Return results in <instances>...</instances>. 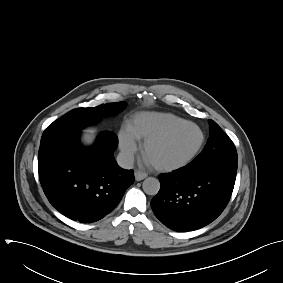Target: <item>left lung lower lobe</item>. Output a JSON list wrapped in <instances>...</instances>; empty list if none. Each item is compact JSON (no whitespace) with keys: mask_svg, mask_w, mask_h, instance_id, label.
Here are the masks:
<instances>
[{"mask_svg":"<svg viewBox=\"0 0 283 283\" xmlns=\"http://www.w3.org/2000/svg\"><path fill=\"white\" fill-rule=\"evenodd\" d=\"M235 169L190 166L162 174L160 190L152 199L155 216L168 228L193 231L214 221L232 194Z\"/></svg>","mask_w":283,"mask_h":283,"instance_id":"0a47b994","label":"left lung lower lobe"}]
</instances>
